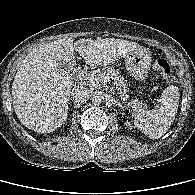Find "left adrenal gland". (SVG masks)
I'll return each mask as SVG.
<instances>
[{"mask_svg":"<svg viewBox=\"0 0 195 195\" xmlns=\"http://www.w3.org/2000/svg\"><path fill=\"white\" fill-rule=\"evenodd\" d=\"M115 103H117L118 104V106H120V107H122V104L117 100V101H115Z\"/></svg>","mask_w":195,"mask_h":195,"instance_id":"a2214340","label":"left adrenal gland"}]
</instances>
